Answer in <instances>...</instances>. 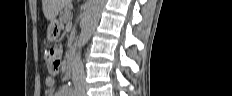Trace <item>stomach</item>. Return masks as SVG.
Masks as SVG:
<instances>
[{"instance_id": "stomach-1", "label": "stomach", "mask_w": 232, "mask_h": 96, "mask_svg": "<svg viewBox=\"0 0 232 96\" xmlns=\"http://www.w3.org/2000/svg\"><path fill=\"white\" fill-rule=\"evenodd\" d=\"M61 26L57 20L51 21L48 28V40L53 42L55 41L60 34Z\"/></svg>"}]
</instances>
